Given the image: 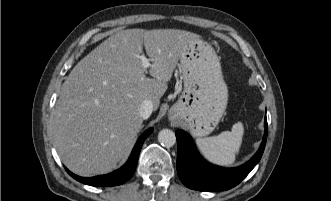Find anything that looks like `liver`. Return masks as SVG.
Returning <instances> with one entry per match:
<instances>
[{"mask_svg":"<svg viewBox=\"0 0 331 201\" xmlns=\"http://www.w3.org/2000/svg\"><path fill=\"white\" fill-rule=\"evenodd\" d=\"M180 29H126L92 50L62 84L53 118L54 144L75 174L110 172L129 151L143 118L144 100L159 107L167 83L189 42ZM152 60L147 78L140 56Z\"/></svg>","mask_w":331,"mask_h":201,"instance_id":"6515ba94","label":"liver"}]
</instances>
